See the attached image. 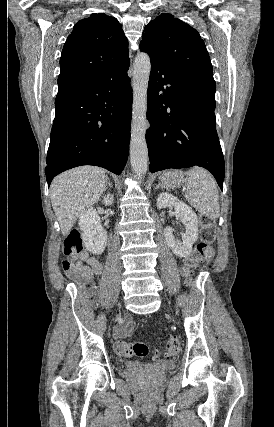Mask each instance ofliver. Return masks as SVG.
<instances>
[{"label": "liver", "mask_w": 274, "mask_h": 427, "mask_svg": "<svg viewBox=\"0 0 274 427\" xmlns=\"http://www.w3.org/2000/svg\"><path fill=\"white\" fill-rule=\"evenodd\" d=\"M107 184L106 172L95 166L73 168L54 178L50 198L62 235H68L78 215L98 202Z\"/></svg>", "instance_id": "obj_1"}]
</instances>
